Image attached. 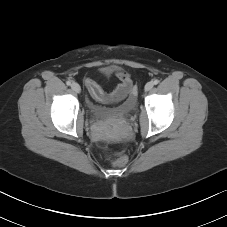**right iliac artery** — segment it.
I'll list each match as a JSON object with an SVG mask.
<instances>
[{"label": "right iliac artery", "instance_id": "right-iliac-artery-1", "mask_svg": "<svg viewBox=\"0 0 227 227\" xmlns=\"http://www.w3.org/2000/svg\"><path fill=\"white\" fill-rule=\"evenodd\" d=\"M66 84H67L68 86H70V85H71V81H67Z\"/></svg>", "mask_w": 227, "mask_h": 227}]
</instances>
